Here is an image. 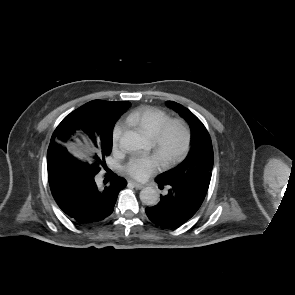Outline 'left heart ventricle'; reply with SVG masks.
Masks as SVG:
<instances>
[{"label":"left heart ventricle","instance_id":"obj_1","mask_svg":"<svg viewBox=\"0 0 295 295\" xmlns=\"http://www.w3.org/2000/svg\"><path fill=\"white\" fill-rule=\"evenodd\" d=\"M181 145V135L177 131H172L167 138L165 147L162 153L159 154L162 160L167 156L175 153Z\"/></svg>","mask_w":295,"mask_h":295}]
</instances>
